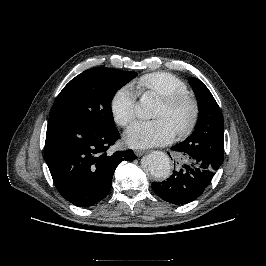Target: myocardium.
<instances>
[{"label": "myocardium", "mask_w": 266, "mask_h": 266, "mask_svg": "<svg viewBox=\"0 0 266 266\" xmlns=\"http://www.w3.org/2000/svg\"><path fill=\"white\" fill-rule=\"evenodd\" d=\"M161 101L170 109L178 108L184 104L190 106L191 114L188 122L176 130L177 135L180 137L190 135L195 129L200 117V105L197 98L193 94L185 92L163 96L161 97Z\"/></svg>", "instance_id": "myocardium-1"}]
</instances>
